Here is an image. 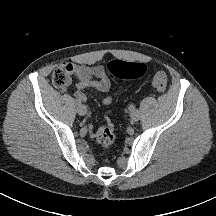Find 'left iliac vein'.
Instances as JSON below:
<instances>
[{
	"label": "left iliac vein",
	"instance_id": "left-iliac-vein-1",
	"mask_svg": "<svg viewBox=\"0 0 216 216\" xmlns=\"http://www.w3.org/2000/svg\"><path fill=\"white\" fill-rule=\"evenodd\" d=\"M130 117H131L132 121H135V122L138 121L140 118L139 111L137 109L133 110L130 114Z\"/></svg>",
	"mask_w": 216,
	"mask_h": 216
}]
</instances>
